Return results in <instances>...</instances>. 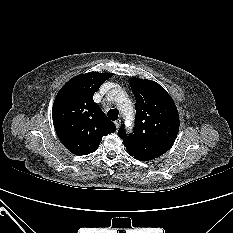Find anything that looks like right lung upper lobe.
<instances>
[{"label":"right lung upper lobe","instance_id":"obj_1","mask_svg":"<svg viewBox=\"0 0 233 233\" xmlns=\"http://www.w3.org/2000/svg\"><path fill=\"white\" fill-rule=\"evenodd\" d=\"M112 73L89 72L69 80L58 92L53 123L62 144L73 154L87 155L97 150L102 137L116 131L93 95Z\"/></svg>","mask_w":233,"mask_h":233}]
</instances>
